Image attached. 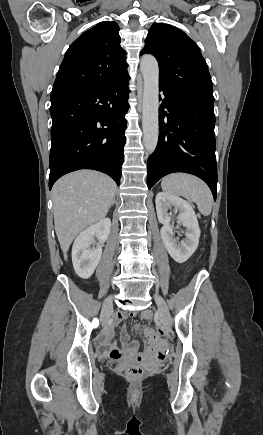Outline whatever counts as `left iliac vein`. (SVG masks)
Listing matches in <instances>:
<instances>
[{
  "mask_svg": "<svg viewBox=\"0 0 263 435\" xmlns=\"http://www.w3.org/2000/svg\"><path fill=\"white\" fill-rule=\"evenodd\" d=\"M154 299H155V302L158 306V312H159L161 321L166 326L171 327L172 326V319H171V315H170V312H169V309H168V306H167L165 300L161 296H159L158 294L154 295Z\"/></svg>",
  "mask_w": 263,
  "mask_h": 435,
  "instance_id": "1",
  "label": "left iliac vein"
}]
</instances>
